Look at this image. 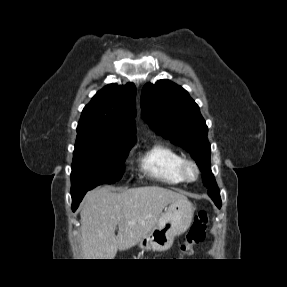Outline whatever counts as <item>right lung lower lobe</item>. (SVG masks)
<instances>
[{
    "label": "right lung lower lobe",
    "instance_id": "obj_1",
    "mask_svg": "<svg viewBox=\"0 0 287 287\" xmlns=\"http://www.w3.org/2000/svg\"><path fill=\"white\" fill-rule=\"evenodd\" d=\"M93 188H89V189L83 191L82 193H79V194H76V195L72 196V210L73 211H75L78 208L79 203L82 201V199H83L84 195L86 194V192L88 190L93 189Z\"/></svg>",
    "mask_w": 287,
    "mask_h": 287
}]
</instances>
